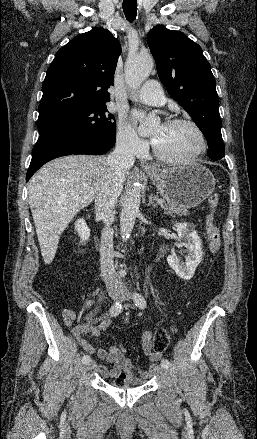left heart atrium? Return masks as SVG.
I'll return each instance as SVG.
<instances>
[{
	"label": "left heart atrium",
	"instance_id": "39dd6f15",
	"mask_svg": "<svg viewBox=\"0 0 257 439\" xmlns=\"http://www.w3.org/2000/svg\"><path fill=\"white\" fill-rule=\"evenodd\" d=\"M134 116H135V117H138L139 115H138V114H135Z\"/></svg>",
	"mask_w": 257,
	"mask_h": 439
}]
</instances>
